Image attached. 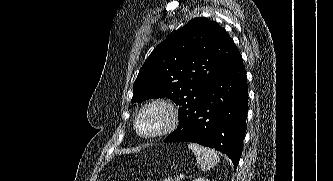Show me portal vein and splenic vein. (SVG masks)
<instances>
[{"mask_svg": "<svg viewBox=\"0 0 333 181\" xmlns=\"http://www.w3.org/2000/svg\"><path fill=\"white\" fill-rule=\"evenodd\" d=\"M175 181H180V177L177 176V177L175 178Z\"/></svg>", "mask_w": 333, "mask_h": 181, "instance_id": "18ae733b", "label": "portal vein and splenic vein"}]
</instances>
